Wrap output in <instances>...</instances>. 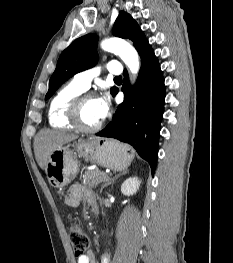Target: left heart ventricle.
Instances as JSON below:
<instances>
[{
  "label": "left heart ventricle",
  "mask_w": 233,
  "mask_h": 263,
  "mask_svg": "<svg viewBox=\"0 0 233 263\" xmlns=\"http://www.w3.org/2000/svg\"><path fill=\"white\" fill-rule=\"evenodd\" d=\"M81 119L82 123L88 127L95 126L101 121L98 116L95 98H89L85 101L81 110Z\"/></svg>",
  "instance_id": "left-heart-ventricle-1"
}]
</instances>
